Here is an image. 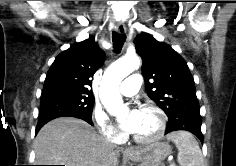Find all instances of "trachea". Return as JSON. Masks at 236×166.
I'll return each instance as SVG.
<instances>
[{
	"label": "trachea",
	"instance_id": "1",
	"mask_svg": "<svg viewBox=\"0 0 236 166\" xmlns=\"http://www.w3.org/2000/svg\"><path fill=\"white\" fill-rule=\"evenodd\" d=\"M125 39L126 37L123 34H119L117 32L112 33L113 46L116 53H119L121 51Z\"/></svg>",
	"mask_w": 236,
	"mask_h": 166
}]
</instances>
